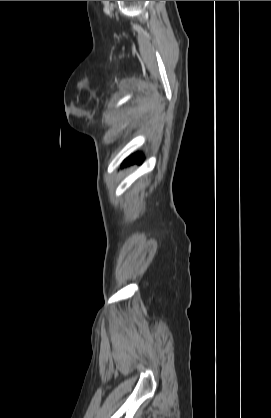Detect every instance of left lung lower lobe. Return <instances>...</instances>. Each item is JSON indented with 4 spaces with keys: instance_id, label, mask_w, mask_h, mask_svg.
<instances>
[{
    "instance_id": "0a47b994",
    "label": "left lung lower lobe",
    "mask_w": 271,
    "mask_h": 418,
    "mask_svg": "<svg viewBox=\"0 0 271 418\" xmlns=\"http://www.w3.org/2000/svg\"><path fill=\"white\" fill-rule=\"evenodd\" d=\"M143 161V156L141 153H136L132 156H130L129 158H127L124 162L123 165H128L131 163H135V162H139L141 163Z\"/></svg>"
}]
</instances>
